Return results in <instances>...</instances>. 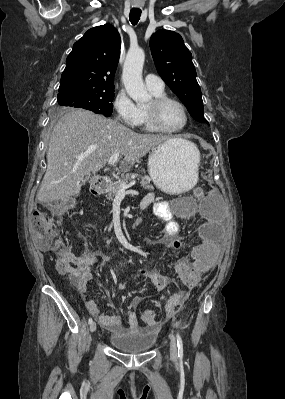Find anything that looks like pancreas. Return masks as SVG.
Returning <instances> with one entry per match:
<instances>
[{"mask_svg":"<svg viewBox=\"0 0 285 399\" xmlns=\"http://www.w3.org/2000/svg\"><path fill=\"white\" fill-rule=\"evenodd\" d=\"M136 177H138V174L136 173L126 174V176L122 177V179L119 180L118 182L109 184L106 188L107 199L112 200L114 196L117 195L122 184H127L129 181H133V179ZM150 181L151 179L149 177L146 176L140 177L141 186L147 190H153V186L150 184Z\"/></svg>","mask_w":285,"mask_h":399,"instance_id":"pancreas-1","label":"pancreas"}]
</instances>
